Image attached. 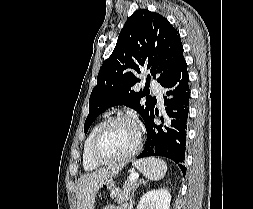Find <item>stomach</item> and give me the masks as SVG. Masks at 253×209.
<instances>
[{
  "instance_id": "0dacf381",
  "label": "stomach",
  "mask_w": 253,
  "mask_h": 209,
  "mask_svg": "<svg viewBox=\"0 0 253 209\" xmlns=\"http://www.w3.org/2000/svg\"><path fill=\"white\" fill-rule=\"evenodd\" d=\"M113 184H114L113 180L111 178L108 179L104 183V185H103L104 187H100V192H111V190H112L111 188H112V186H114Z\"/></svg>"
}]
</instances>
